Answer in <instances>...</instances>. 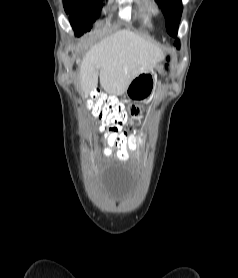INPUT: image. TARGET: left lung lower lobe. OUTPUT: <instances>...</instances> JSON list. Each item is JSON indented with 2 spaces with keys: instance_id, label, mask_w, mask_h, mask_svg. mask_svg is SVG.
I'll return each mask as SVG.
<instances>
[{
  "instance_id": "left-lung-lower-lobe-1",
  "label": "left lung lower lobe",
  "mask_w": 238,
  "mask_h": 278,
  "mask_svg": "<svg viewBox=\"0 0 238 278\" xmlns=\"http://www.w3.org/2000/svg\"><path fill=\"white\" fill-rule=\"evenodd\" d=\"M177 35V33L174 35V37ZM179 47V40L176 41L175 43Z\"/></svg>"
}]
</instances>
